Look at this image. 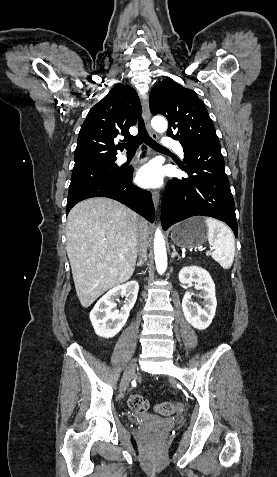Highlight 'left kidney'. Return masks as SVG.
<instances>
[{
  "label": "left kidney",
  "mask_w": 277,
  "mask_h": 477,
  "mask_svg": "<svg viewBox=\"0 0 277 477\" xmlns=\"http://www.w3.org/2000/svg\"><path fill=\"white\" fill-rule=\"evenodd\" d=\"M179 281L183 284L195 282L201 290L204 307L191 302V295L186 292L182 300V311L186 321L194 328L204 330L209 327L216 312L217 300L215 284L210 274L198 266L184 267L179 272Z\"/></svg>",
  "instance_id": "obj_1"
}]
</instances>
